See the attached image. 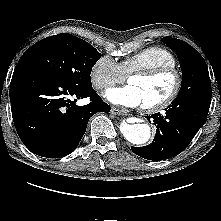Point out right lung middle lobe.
Listing matches in <instances>:
<instances>
[{
	"label": "right lung middle lobe",
	"instance_id": "right-lung-middle-lobe-1",
	"mask_svg": "<svg viewBox=\"0 0 221 221\" xmlns=\"http://www.w3.org/2000/svg\"><path fill=\"white\" fill-rule=\"evenodd\" d=\"M100 58L97 49L86 41L62 33L35 43L21 56L17 65H29L67 84L89 88L92 87V67Z\"/></svg>",
	"mask_w": 221,
	"mask_h": 221
}]
</instances>
